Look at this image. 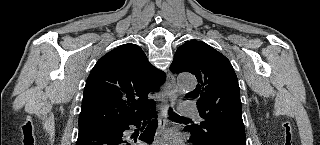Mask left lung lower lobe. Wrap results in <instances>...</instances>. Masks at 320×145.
<instances>
[{
	"label": "left lung lower lobe",
	"mask_w": 320,
	"mask_h": 145,
	"mask_svg": "<svg viewBox=\"0 0 320 145\" xmlns=\"http://www.w3.org/2000/svg\"><path fill=\"white\" fill-rule=\"evenodd\" d=\"M184 131L190 132V127H186ZM189 141L193 145H246L245 135L221 131L212 140H200L191 134Z\"/></svg>",
	"instance_id": "1"
}]
</instances>
